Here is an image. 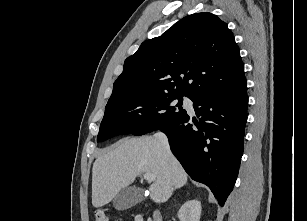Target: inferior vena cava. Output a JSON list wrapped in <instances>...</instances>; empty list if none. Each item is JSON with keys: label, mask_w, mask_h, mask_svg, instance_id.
Listing matches in <instances>:
<instances>
[{"label": "inferior vena cava", "mask_w": 307, "mask_h": 221, "mask_svg": "<svg viewBox=\"0 0 307 221\" xmlns=\"http://www.w3.org/2000/svg\"><path fill=\"white\" fill-rule=\"evenodd\" d=\"M155 137L164 145V147L170 151L169 143H168V138L165 134L162 132H158Z\"/></svg>", "instance_id": "1"}]
</instances>
